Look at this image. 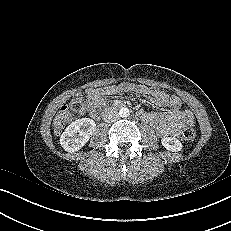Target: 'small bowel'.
<instances>
[{
  "instance_id": "1",
  "label": "small bowel",
  "mask_w": 231,
  "mask_h": 231,
  "mask_svg": "<svg viewBox=\"0 0 231 231\" xmlns=\"http://www.w3.org/2000/svg\"><path fill=\"white\" fill-rule=\"evenodd\" d=\"M125 92L147 96L152 104L157 107H171L169 110L160 113H149L143 110L138 112L140 119L153 126L162 137L178 136L182 128L194 124L193 113L189 110L172 107L169 103V96L165 92L131 83H121L106 88L86 90L89 113L92 115L96 113L97 109L103 104L104 97Z\"/></svg>"
}]
</instances>
